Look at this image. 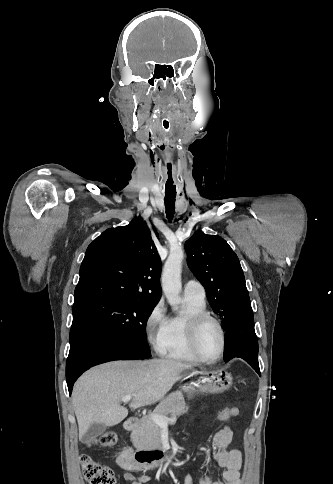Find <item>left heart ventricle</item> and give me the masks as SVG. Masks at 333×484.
I'll list each match as a JSON object with an SVG mask.
<instances>
[{
	"label": "left heart ventricle",
	"instance_id": "1",
	"mask_svg": "<svg viewBox=\"0 0 333 484\" xmlns=\"http://www.w3.org/2000/svg\"><path fill=\"white\" fill-rule=\"evenodd\" d=\"M199 349L209 359L217 356L221 347V338L217 326L212 322H206L199 334Z\"/></svg>",
	"mask_w": 333,
	"mask_h": 484
}]
</instances>
